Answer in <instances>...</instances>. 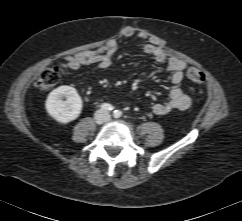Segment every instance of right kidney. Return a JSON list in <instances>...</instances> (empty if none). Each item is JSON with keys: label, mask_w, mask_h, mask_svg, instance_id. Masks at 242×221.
<instances>
[{"label": "right kidney", "mask_w": 242, "mask_h": 221, "mask_svg": "<svg viewBox=\"0 0 242 221\" xmlns=\"http://www.w3.org/2000/svg\"><path fill=\"white\" fill-rule=\"evenodd\" d=\"M82 106V99L76 89L67 85L54 89L45 102L48 114L62 124L77 119Z\"/></svg>", "instance_id": "ca27d5eb"}]
</instances>
